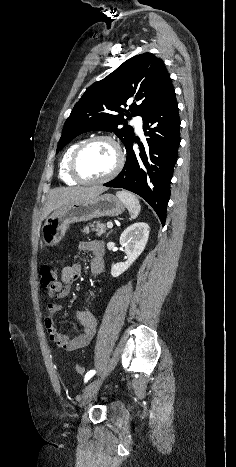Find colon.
I'll return each mask as SVG.
<instances>
[{
	"label": "colon",
	"instance_id": "1",
	"mask_svg": "<svg viewBox=\"0 0 236 467\" xmlns=\"http://www.w3.org/2000/svg\"><path fill=\"white\" fill-rule=\"evenodd\" d=\"M40 277L42 287L47 290H51L55 286L58 277V268L56 263L53 261L44 263L40 268ZM75 371L77 374L82 375L84 368L77 364L75 366Z\"/></svg>",
	"mask_w": 236,
	"mask_h": 467
}]
</instances>
